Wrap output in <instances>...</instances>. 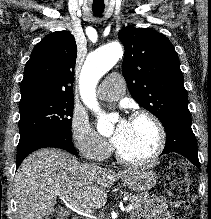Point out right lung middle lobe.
<instances>
[{
	"label": "right lung middle lobe",
	"mask_w": 211,
	"mask_h": 219,
	"mask_svg": "<svg viewBox=\"0 0 211 219\" xmlns=\"http://www.w3.org/2000/svg\"><path fill=\"white\" fill-rule=\"evenodd\" d=\"M73 106L72 99L37 97L20 101V140L38 133L71 139Z\"/></svg>",
	"instance_id": "dd1d6c3e"
}]
</instances>
